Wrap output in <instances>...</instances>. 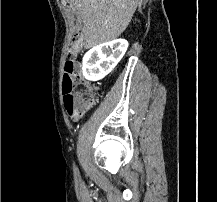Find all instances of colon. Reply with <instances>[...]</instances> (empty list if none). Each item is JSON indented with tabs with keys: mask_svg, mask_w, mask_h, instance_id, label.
<instances>
[{
	"mask_svg": "<svg viewBox=\"0 0 217 202\" xmlns=\"http://www.w3.org/2000/svg\"><path fill=\"white\" fill-rule=\"evenodd\" d=\"M86 36H73V41H86ZM75 47H70L69 55L66 56L67 67H64V103L67 107V117L82 119L80 112L89 111L93 103L97 102L96 86H88V80H81V68L86 64L81 59H76Z\"/></svg>",
	"mask_w": 217,
	"mask_h": 202,
	"instance_id": "obj_1",
	"label": "colon"
}]
</instances>
